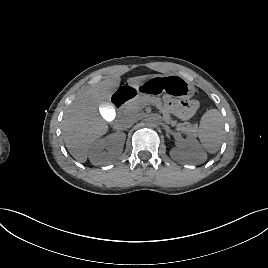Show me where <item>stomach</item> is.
Returning a JSON list of instances; mask_svg holds the SVG:
<instances>
[{
  "mask_svg": "<svg viewBox=\"0 0 268 268\" xmlns=\"http://www.w3.org/2000/svg\"><path fill=\"white\" fill-rule=\"evenodd\" d=\"M132 87L138 94H147L150 96L167 92L179 99L191 98L195 92L192 83L177 74L150 75L141 82L132 85Z\"/></svg>",
  "mask_w": 268,
  "mask_h": 268,
  "instance_id": "0dacf381",
  "label": "stomach"
}]
</instances>
